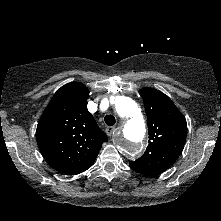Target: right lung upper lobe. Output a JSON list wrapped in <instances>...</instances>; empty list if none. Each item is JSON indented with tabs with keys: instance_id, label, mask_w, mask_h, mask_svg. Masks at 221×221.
Returning a JSON list of instances; mask_svg holds the SVG:
<instances>
[{
	"instance_id": "1",
	"label": "right lung upper lobe",
	"mask_w": 221,
	"mask_h": 221,
	"mask_svg": "<svg viewBox=\"0 0 221 221\" xmlns=\"http://www.w3.org/2000/svg\"><path fill=\"white\" fill-rule=\"evenodd\" d=\"M89 91L79 82L61 87L44 110L36 131L41 154L58 172L71 175L91 165L108 141L87 110Z\"/></svg>"
}]
</instances>
